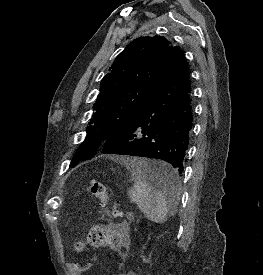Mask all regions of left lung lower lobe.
Listing matches in <instances>:
<instances>
[{
    "instance_id": "left-lung-lower-lobe-1",
    "label": "left lung lower lobe",
    "mask_w": 263,
    "mask_h": 275,
    "mask_svg": "<svg viewBox=\"0 0 263 275\" xmlns=\"http://www.w3.org/2000/svg\"><path fill=\"white\" fill-rule=\"evenodd\" d=\"M194 104L189 67L179 48L154 93L128 126L102 146L103 154L131 155L168 162L170 170L147 169L148 180L170 195L184 170Z\"/></svg>"
}]
</instances>
